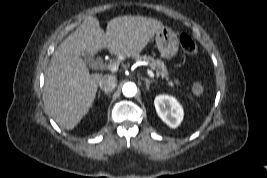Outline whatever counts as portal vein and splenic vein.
Instances as JSON below:
<instances>
[{
    "label": "portal vein and splenic vein",
    "mask_w": 267,
    "mask_h": 178,
    "mask_svg": "<svg viewBox=\"0 0 267 178\" xmlns=\"http://www.w3.org/2000/svg\"><path fill=\"white\" fill-rule=\"evenodd\" d=\"M107 68H108L110 71L115 72V71L118 70V68H119V64L116 63V62H113V63L108 64ZM147 74H148L149 77H151V78H154V77H155L154 73H153L150 69H147Z\"/></svg>",
    "instance_id": "obj_1"
}]
</instances>
